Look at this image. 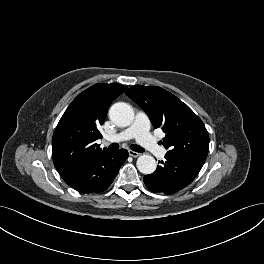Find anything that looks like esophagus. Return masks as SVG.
<instances>
[{"instance_id": "esophagus-1", "label": "esophagus", "mask_w": 264, "mask_h": 264, "mask_svg": "<svg viewBox=\"0 0 264 264\" xmlns=\"http://www.w3.org/2000/svg\"><path fill=\"white\" fill-rule=\"evenodd\" d=\"M128 152H129V155L134 157V158H137V157L140 156V153H138V152H135V151H132V150H129Z\"/></svg>"}]
</instances>
